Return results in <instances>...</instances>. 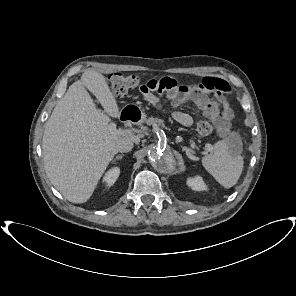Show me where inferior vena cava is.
<instances>
[{
    "label": "inferior vena cava",
    "instance_id": "602c4592",
    "mask_svg": "<svg viewBox=\"0 0 296 296\" xmlns=\"http://www.w3.org/2000/svg\"><path fill=\"white\" fill-rule=\"evenodd\" d=\"M133 148V141L130 139H120L115 144L116 152H129Z\"/></svg>",
    "mask_w": 296,
    "mask_h": 296
}]
</instances>
